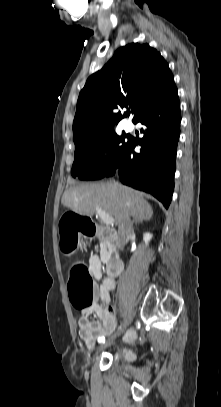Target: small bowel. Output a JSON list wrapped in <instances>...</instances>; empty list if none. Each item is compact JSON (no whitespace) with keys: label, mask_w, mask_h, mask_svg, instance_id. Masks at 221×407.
Returning a JSON list of instances; mask_svg holds the SVG:
<instances>
[{"label":"small bowel","mask_w":221,"mask_h":407,"mask_svg":"<svg viewBox=\"0 0 221 407\" xmlns=\"http://www.w3.org/2000/svg\"><path fill=\"white\" fill-rule=\"evenodd\" d=\"M89 271L96 281H101L94 291V301L90 307L82 311L78 320L79 336L87 348L92 349L99 338L111 334L116 327L115 308L111 303V292L116 288V280L110 276L103 278L102 263L98 255H92L89 260ZM94 314L97 320H90L88 315ZM135 337L133 332L126 339Z\"/></svg>","instance_id":"1"}]
</instances>
